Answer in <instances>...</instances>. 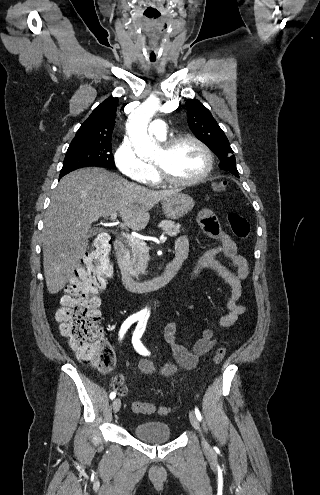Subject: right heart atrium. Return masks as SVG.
I'll return each mask as SVG.
<instances>
[{
  "mask_svg": "<svg viewBox=\"0 0 320 495\" xmlns=\"http://www.w3.org/2000/svg\"><path fill=\"white\" fill-rule=\"evenodd\" d=\"M114 157L118 169L127 178L141 183H150L155 180L154 169L138 157L128 139L121 142Z\"/></svg>",
  "mask_w": 320,
  "mask_h": 495,
  "instance_id": "1",
  "label": "right heart atrium"
}]
</instances>
